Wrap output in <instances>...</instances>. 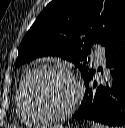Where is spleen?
<instances>
[{
	"instance_id": "1",
	"label": "spleen",
	"mask_w": 125,
	"mask_h": 128,
	"mask_svg": "<svg viewBox=\"0 0 125 128\" xmlns=\"http://www.w3.org/2000/svg\"><path fill=\"white\" fill-rule=\"evenodd\" d=\"M92 128H106V127H104V126H102V125H100V124H98V123H94V124L92 125Z\"/></svg>"
}]
</instances>
